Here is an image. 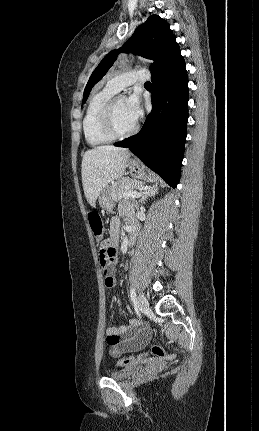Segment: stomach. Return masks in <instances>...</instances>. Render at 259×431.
I'll return each instance as SVG.
<instances>
[{"mask_svg": "<svg viewBox=\"0 0 259 431\" xmlns=\"http://www.w3.org/2000/svg\"><path fill=\"white\" fill-rule=\"evenodd\" d=\"M127 166L134 178L141 179L144 181L154 182L155 176L147 171L140 163L137 161H129ZM99 204L102 208L110 210L114 206V200L111 196V186L105 187L100 193Z\"/></svg>", "mask_w": 259, "mask_h": 431, "instance_id": "0dacf381", "label": "stomach"}]
</instances>
